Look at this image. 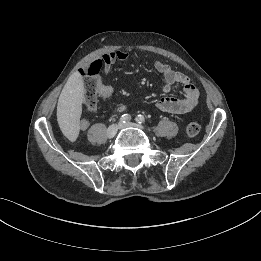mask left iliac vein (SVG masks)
<instances>
[{
    "label": "left iliac vein",
    "mask_w": 261,
    "mask_h": 261,
    "mask_svg": "<svg viewBox=\"0 0 261 261\" xmlns=\"http://www.w3.org/2000/svg\"><path fill=\"white\" fill-rule=\"evenodd\" d=\"M124 128H138L141 130H145V128L142 125L133 122L122 123L119 125V129H124Z\"/></svg>",
    "instance_id": "left-iliac-vein-1"
}]
</instances>
